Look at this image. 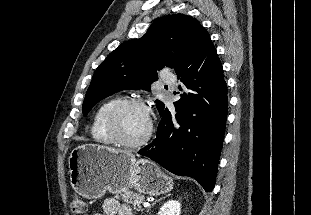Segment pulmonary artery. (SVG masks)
Returning a JSON list of instances; mask_svg holds the SVG:
<instances>
[{"mask_svg":"<svg viewBox=\"0 0 311 215\" xmlns=\"http://www.w3.org/2000/svg\"><path fill=\"white\" fill-rule=\"evenodd\" d=\"M162 80L167 84H174L176 81L174 75L167 71L163 73Z\"/></svg>","mask_w":311,"mask_h":215,"instance_id":"e3ab8cb5","label":"pulmonary artery"}]
</instances>
